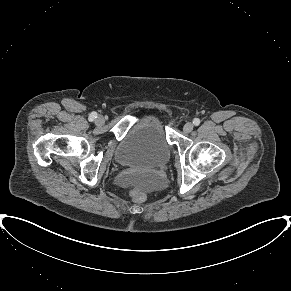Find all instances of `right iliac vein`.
<instances>
[{"mask_svg":"<svg viewBox=\"0 0 291 291\" xmlns=\"http://www.w3.org/2000/svg\"><path fill=\"white\" fill-rule=\"evenodd\" d=\"M104 122H105V119H104V117L102 115H99V116L96 117L95 123L97 125H103Z\"/></svg>","mask_w":291,"mask_h":291,"instance_id":"63e3f726","label":"right iliac vein"}]
</instances>
